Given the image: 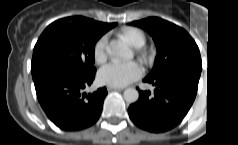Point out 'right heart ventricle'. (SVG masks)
Segmentation results:
<instances>
[{
  "label": "right heart ventricle",
  "mask_w": 238,
  "mask_h": 145,
  "mask_svg": "<svg viewBox=\"0 0 238 145\" xmlns=\"http://www.w3.org/2000/svg\"><path fill=\"white\" fill-rule=\"evenodd\" d=\"M121 36L126 38L129 42L135 44L140 40V34L134 28H125L121 32Z\"/></svg>",
  "instance_id": "right-heart-ventricle-1"
}]
</instances>
